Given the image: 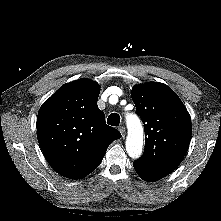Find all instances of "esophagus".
Segmentation results:
<instances>
[{
    "mask_svg": "<svg viewBox=\"0 0 221 221\" xmlns=\"http://www.w3.org/2000/svg\"><path fill=\"white\" fill-rule=\"evenodd\" d=\"M119 131H120V133H121V135H122V138H124V137H125V134H126V129H125V127H124V126H120V127H119Z\"/></svg>",
    "mask_w": 221,
    "mask_h": 221,
    "instance_id": "1",
    "label": "esophagus"
}]
</instances>
